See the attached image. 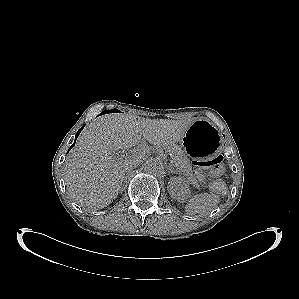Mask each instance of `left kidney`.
Masks as SVG:
<instances>
[{"label":"left kidney","instance_id":"left-kidney-1","mask_svg":"<svg viewBox=\"0 0 299 299\" xmlns=\"http://www.w3.org/2000/svg\"><path fill=\"white\" fill-rule=\"evenodd\" d=\"M167 188L171 197L179 202H183L190 194L187 181L181 177H171Z\"/></svg>","mask_w":299,"mask_h":299}]
</instances>
